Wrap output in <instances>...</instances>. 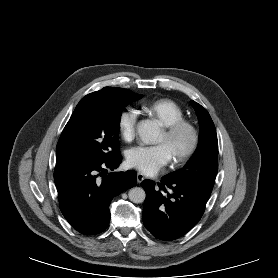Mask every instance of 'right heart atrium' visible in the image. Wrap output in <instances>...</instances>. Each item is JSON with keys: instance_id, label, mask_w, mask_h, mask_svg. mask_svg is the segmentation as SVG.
Listing matches in <instances>:
<instances>
[{"instance_id": "1", "label": "right heart atrium", "mask_w": 278, "mask_h": 278, "mask_svg": "<svg viewBox=\"0 0 278 278\" xmlns=\"http://www.w3.org/2000/svg\"><path fill=\"white\" fill-rule=\"evenodd\" d=\"M138 114L134 109L122 111L118 118V130L125 141H131L135 136Z\"/></svg>"}]
</instances>
